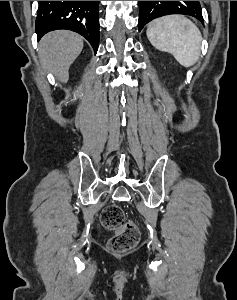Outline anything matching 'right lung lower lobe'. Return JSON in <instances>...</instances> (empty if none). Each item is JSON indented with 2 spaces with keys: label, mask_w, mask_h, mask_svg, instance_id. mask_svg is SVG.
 Masks as SVG:
<instances>
[{
  "label": "right lung lower lobe",
  "mask_w": 237,
  "mask_h": 300,
  "mask_svg": "<svg viewBox=\"0 0 237 300\" xmlns=\"http://www.w3.org/2000/svg\"><path fill=\"white\" fill-rule=\"evenodd\" d=\"M99 1H39L38 40L53 30L68 29L84 36L95 52L99 44Z\"/></svg>",
  "instance_id": "obj_1"
}]
</instances>
